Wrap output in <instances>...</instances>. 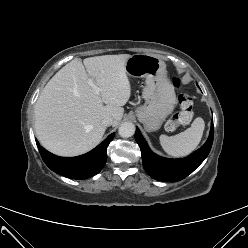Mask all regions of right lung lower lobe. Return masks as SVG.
I'll list each match as a JSON object with an SVG mask.
<instances>
[{
  "mask_svg": "<svg viewBox=\"0 0 248 248\" xmlns=\"http://www.w3.org/2000/svg\"><path fill=\"white\" fill-rule=\"evenodd\" d=\"M114 135L110 134L96 148L77 157L56 156L42 148L37 140L36 144L43 161L52 171L71 179L81 180L92 177L102 170L107 160V147Z\"/></svg>",
  "mask_w": 248,
  "mask_h": 248,
  "instance_id": "98d812e1",
  "label": "right lung lower lobe"
}]
</instances>
